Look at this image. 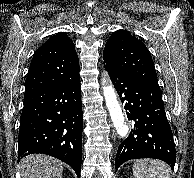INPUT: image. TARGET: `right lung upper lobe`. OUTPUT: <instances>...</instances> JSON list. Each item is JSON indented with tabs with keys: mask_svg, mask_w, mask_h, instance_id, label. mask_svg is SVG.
<instances>
[{
	"mask_svg": "<svg viewBox=\"0 0 194 178\" xmlns=\"http://www.w3.org/2000/svg\"><path fill=\"white\" fill-rule=\"evenodd\" d=\"M79 76L75 45L65 32L51 36L33 55L25 92L65 83Z\"/></svg>",
	"mask_w": 194,
	"mask_h": 178,
	"instance_id": "cb5924a9",
	"label": "right lung upper lobe"
}]
</instances>
